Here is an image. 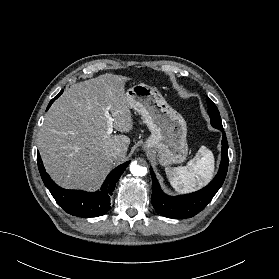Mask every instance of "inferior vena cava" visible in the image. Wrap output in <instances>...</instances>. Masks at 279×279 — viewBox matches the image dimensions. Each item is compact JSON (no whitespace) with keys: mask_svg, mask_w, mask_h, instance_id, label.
Returning <instances> with one entry per match:
<instances>
[{"mask_svg":"<svg viewBox=\"0 0 279 279\" xmlns=\"http://www.w3.org/2000/svg\"><path fill=\"white\" fill-rule=\"evenodd\" d=\"M121 153V150L118 148L113 149L112 151H110L109 156L116 158L117 156H119Z\"/></svg>","mask_w":279,"mask_h":279,"instance_id":"1","label":"inferior vena cava"}]
</instances>
